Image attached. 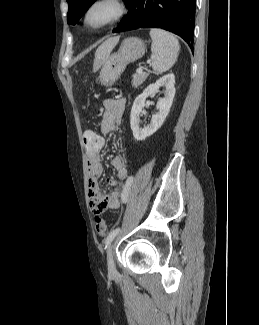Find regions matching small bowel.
<instances>
[{"instance_id":"obj_1","label":"small bowel","mask_w":259,"mask_h":325,"mask_svg":"<svg viewBox=\"0 0 259 325\" xmlns=\"http://www.w3.org/2000/svg\"><path fill=\"white\" fill-rule=\"evenodd\" d=\"M125 106L126 100L124 98H111L104 101L100 124L101 134L96 133L97 138L103 139V147L105 144L104 137L119 126ZM102 149H87L85 146L89 174V204L95 213H101L106 209H116L120 206V199L124 190L122 182L127 181L129 177V170L125 158L123 156H115L111 164L116 171V178L107 180V184L114 187L115 190L111 193H102L100 191L98 179L103 173L102 158L100 155Z\"/></svg>"}]
</instances>
